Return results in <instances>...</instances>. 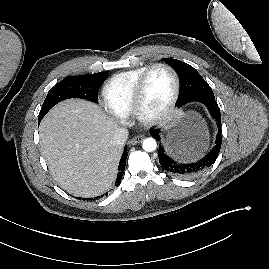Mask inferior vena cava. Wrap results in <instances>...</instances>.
Instances as JSON below:
<instances>
[{
    "label": "inferior vena cava",
    "mask_w": 269,
    "mask_h": 269,
    "mask_svg": "<svg viewBox=\"0 0 269 269\" xmlns=\"http://www.w3.org/2000/svg\"><path fill=\"white\" fill-rule=\"evenodd\" d=\"M128 134L129 132L126 128L117 129L111 140V143L115 146H123L128 138Z\"/></svg>",
    "instance_id": "1"
}]
</instances>
